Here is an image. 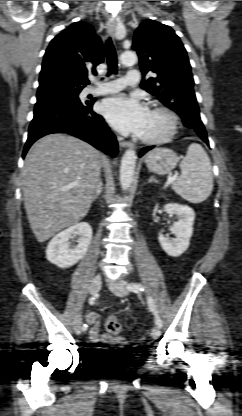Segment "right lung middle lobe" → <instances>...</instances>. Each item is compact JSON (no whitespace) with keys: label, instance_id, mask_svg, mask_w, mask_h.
<instances>
[{"label":"right lung middle lobe","instance_id":"1","mask_svg":"<svg viewBox=\"0 0 242 416\" xmlns=\"http://www.w3.org/2000/svg\"><path fill=\"white\" fill-rule=\"evenodd\" d=\"M80 91L81 89H60L50 96H66L69 98H78V94L80 93ZM50 96H47V97H50ZM37 99H40V98H37Z\"/></svg>","mask_w":242,"mask_h":416}]
</instances>
